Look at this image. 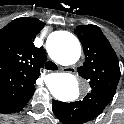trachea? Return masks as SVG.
Instances as JSON below:
<instances>
[{
	"label": "trachea",
	"instance_id": "1",
	"mask_svg": "<svg viewBox=\"0 0 124 124\" xmlns=\"http://www.w3.org/2000/svg\"><path fill=\"white\" fill-rule=\"evenodd\" d=\"M45 68L48 69V70H57V65L54 64L53 62L51 61H48L45 65Z\"/></svg>",
	"mask_w": 124,
	"mask_h": 124
}]
</instances>
